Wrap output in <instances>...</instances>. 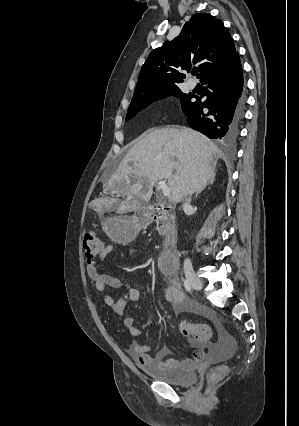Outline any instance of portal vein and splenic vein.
I'll return each instance as SVG.
<instances>
[{"instance_id": "18ae733b", "label": "portal vein and splenic vein", "mask_w": 299, "mask_h": 426, "mask_svg": "<svg viewBox=\"0 0 299 426\" xmlns=\"http://www.w3.org/2000/svg\"><path fill=\"white\" fill-rule=\"evenodd\" d=\"M157 185L158 188L162 190L164 196L169 197L171 195L170 188L165 181H158Z\"/></svg>"}]
</instances>
